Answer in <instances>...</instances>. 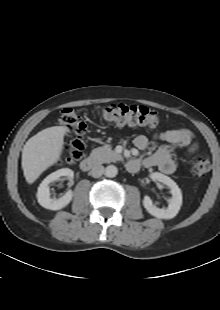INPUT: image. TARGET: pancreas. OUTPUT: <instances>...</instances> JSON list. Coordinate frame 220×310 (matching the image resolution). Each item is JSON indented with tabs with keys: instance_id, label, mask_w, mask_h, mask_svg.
<instances>
[{
	"instance_id": "pancreas-1",
	"label": "pancreas",
	"mask_w": 220,
	"mask_h": 310,
	"mask_svg": "<svg viewBox=\"0 0 220 310\" xmlns=\"http://www.w3.org/2000/svg\"><path fill=\"white\" fill-rule=\"evenodd\" d=\"M90 157L97 163H109L121 160L120 154L111 150L109 146H102L92 150Z\"/></svg>"
}]
</instances>
